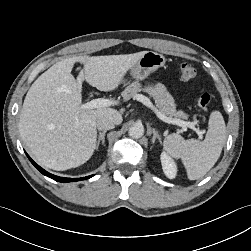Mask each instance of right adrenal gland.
I'll return each mask as SVG.
<instances>
[{"label":"right adrenal gland","instance_id":"2a0ac1e0","mask_svg":"<svg viewBox=\"0 0 251 251\" xmlns=\"http://www.w3.org/2000/svg\"><path fill=\"white\" fill-rule=\"evenodd\" d=\"M105 134H106V131H103L102 133L99 134L98 140H97V143H96V150H98L100 142L102 143V145H104V143H105Z\"/></svg>","mask_w":251,"mask_h":251}]
</instances>
